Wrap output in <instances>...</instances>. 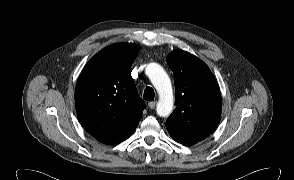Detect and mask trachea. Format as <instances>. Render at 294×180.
Returning a JSON list of instances; mask_svg holds the SVG:
<instances>
[{
  "mask_svg": "<svg viewBox=\"0 0 294 180\" xmlns=\"http://www.w3.org/2000/svg\"><path fill=\"white\" fill-rule=\"evenodd\" d=\"M154 90L153 88L151 87H146L145 90H144V95H143V98L146 100V101H153L154 100Z\"/></svg>",
  "mask_w": 294,
  "mask_h": 180,
  "instance_id": "1",
  "label": "trachea"
}]
</instances>
